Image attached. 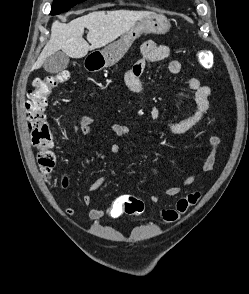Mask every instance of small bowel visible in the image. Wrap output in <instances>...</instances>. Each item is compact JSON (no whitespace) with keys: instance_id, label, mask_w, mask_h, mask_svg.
I'll use <instances>...</instances> for the list:
<instances>
[{"instance_id":"obj_1","label":"small bowel","mask_w":249,"mask_h":294,"mask_svg":"<svg viewBox=\"0 0 249 294\" xmlns=\"http://www.w3.org/2000/svg\"><path fill=\"white\" fill-rule=\"evenodd\" d=\"M141 58L128 70L126 74V82L128 87L133 91H139L142 88L141 85V75L143 74L145 68L150 63H159L170 57L171 50L166 45H159L153 41H146L140 47ZM169 72L173 75H177L182 71V64L179 60H171L168 65ZM188 86L194 93V100L196 103V108L194 112L187 118L172 121L168 123V130L177 135L185 134L196 127L204 116L210 110L209 96L211 94L210 87L201 84L197 78H190L188 80ZM149 117L152 120H157L161 117V110L157 106H152L149 109ZM94 121L89 116H84L81 118L78 125L73 127V131L80 130L82 135L89 136L93 132ZM112 134L119 140H123L128 137L131 132L129 128L121 124H113L110 128ZM209 148L200 172H193L188 175L180 184L172 186L165 190V194L169 197L178 195L183 188L193 184L200 176L204 173L211 172L214 169L216 159L220 147V139L217 136H211L209 138ZM121 150V143H114L110 151L113 154L118 153ZM152 174L156 177L158 175V170L156 168L152 169ZM110 175L114 176L115 172L110 168ZM108 176H102L95 181H93L89 187V192H96L100 190L106 183ZM69 186V181L66 177H63L61 182L62 189H67ZM150 201L152 203H157L159 201V195L153 194L150 196ZM82 202L84 205L88 206L92 203V196L90 194H85L82 197ZM79 208L75 206H70L66 208L65 212L68 216H73L78 212ZM108 215L112 218L114 217L110 214V207H94L88 211V217L92 221H97Z\"/></svg>"}]
</instances>
